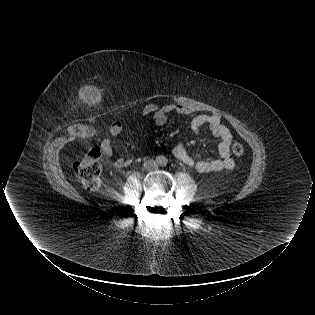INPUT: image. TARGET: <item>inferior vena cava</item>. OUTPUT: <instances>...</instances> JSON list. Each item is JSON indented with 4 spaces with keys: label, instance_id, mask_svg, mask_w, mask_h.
Segmentation results:
<instances>
[{
    "label": "inferior vena cava",
    "instance_id": "inferior-vena-cava-1",
    "mask_svg": "<svg viewBox=\"0 0 315 315\" xmlns=\"http://www.w3.org/2000/svg\"><path fill=\"white\" fill-rule=\"evenodd\" d=\"M154 165H155V161H153V160H149V161L145 162V167L148 169H150V167H152Z\"/></svg>",
    "mask_w": 315,
    "mask_h": 315
}]
</instances>
